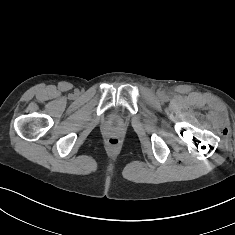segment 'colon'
<instances>
[{
  "label": "colon",
  "mask_w": 235,
  "mask_h": 235,
  "mask_svg": "<svg viewBox=\"0 0 235 235\" xmlns=\"http://www.w3.org/2000/svg\"><path fill=\"white\" fill-rule=\"evenodd\" d=\"M108 144L111 146V147H116L118 146L119 144V140L115 137H112L108 140Z\"/></svg>",
  "instance_id": "colon-1"
}]
</instances>
